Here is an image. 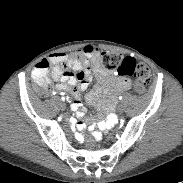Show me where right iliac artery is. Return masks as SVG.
Here are the masks:
<instances>
[{"label":"right iliac artery","mask_w":183,"mask_h":183,"mask_svg":"<svg viewBox=\"0 0 183 183\" xmlns=\"http://www.w3.org/2000/svg\"><path fill=\"white\" fill-rule=\"evenodd\" d=\"M62 100L64 101L65 100V97H62Z\"/></svg>","instance_id":"1"}]
</instances>
